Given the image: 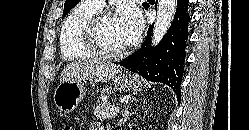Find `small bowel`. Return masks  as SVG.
Instances as JSON below:
<instances>
[{"label": "small bowel", "instance_id": "1", "mask_svg": "<svg viewBox=\"0 0 249 130\" xmlns=\"http://www.w3.org/2000/svg\"><path fill=\"white\" fill-rule=\"evenodd\" d=\"M88 130H103V127L100 123L93 121L90 123Z\"/></svg>", "mask_w": 249, "mask_h": 130}]
</instances>
